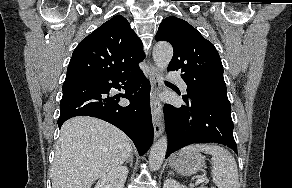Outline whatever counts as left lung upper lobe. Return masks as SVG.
<instances>
[{"instance_id":"5c2ea615","label":"left lung upper lobe","mask_w":292,"mask_h":188,"mask_svg":"<svg viewBox=\"0 0 292 188\" xmlns=\"http://www.w3.org/2000/svg\"><path fill=\"white\" fill-rule=\"evenodd\" d=\"M156 40L173 46L168 70L181 71L187 84L185 96L228 100L220 56L194 27L177 17H167L159 26Z\"/></svg>"}]
</instances>
